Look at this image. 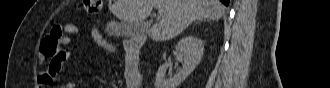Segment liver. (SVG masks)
Wrapping results in <instances>:
<instances>
[{"mask_svg": "<svg viewBox=\"0 0 330 88\" xmlns=\"http://www.w3.org/2000/svg\"><path fill=\"white\" fill-rule=\"evenodd\" d=\"M153 7L163 12L162 19L148 30L154 41L170 40L193 21L219 20L224 14L219 0H116L110 10L122 22L138 25L150 15Z\"/></svg>", "mask_w": 330, "mask_h": 88, "instance_id": "1", "label": "liver"}]
</instances>
